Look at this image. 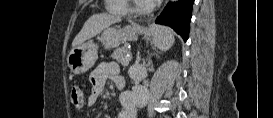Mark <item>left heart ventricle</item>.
Segmentation results:
<instances>
[{
    "mask_svg": "<svg viewBox=\"0 0 273 118\" xmlns=\"http://www.w3.org/2000/svg\"><path fill=\"white\" fill-rule=\"evenodd\" d=\"M136 5H137V7L142 8L147 5V2L139 0V1H136Z\"/></svg>",
    "mask_w": 273,
    "mask_h": 118,
    "instance_id": "left-heart-ventricle-1",
    "label": "left heart ventricle"
}]
</instances>
